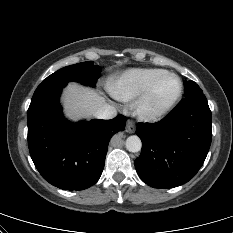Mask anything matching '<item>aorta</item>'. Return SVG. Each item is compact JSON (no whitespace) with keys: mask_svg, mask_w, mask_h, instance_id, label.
Masks as SVG:
<instances>
[{"mask_svg":"<svg viewBox=\"0 0 233 233\" xmlns=\"http://www.w3.org/2000/svg\"><path fill=\"white\" fill-rule=\"evenodd\" d=\"M125 147L129 152H139L142 148L141 139L136 135L129 136L126 139Z\"/></svg>","mask_w":233,"mask_h":233,"instance_id":"762f6f07","label":"aorta"}]
</instances>
